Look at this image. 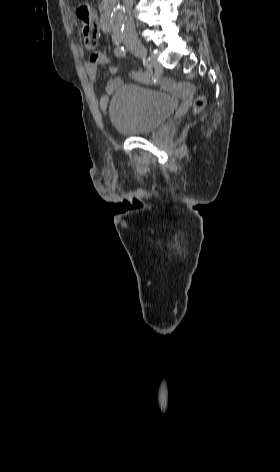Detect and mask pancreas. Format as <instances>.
<instances>
[{
	"mask_svg": "<svg viewBox=\"0 0 280 472\" xmlns=\"http://www.w3.org/2000/svg\"><path fill=\"white\" fill-rule=\"evenodd\" d=\"M109 0H103V2H108Z\"/></svg>",
	"mask_w": 280,
	"mask_h": 472,
	"instance_id": "1",
	"label": "pancreas"
}]
</instances>
